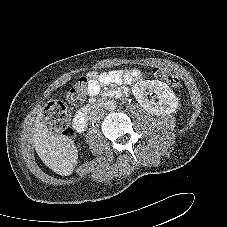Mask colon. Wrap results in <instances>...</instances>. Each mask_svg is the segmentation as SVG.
<instances>
[{
    "label": "colon",
    "instance_id": "obj_1",
    "mask_svg": "<svg viewBox=\"0 0 227 227\" xmlns=\"http://www.w3.org/2000/svg\"><path fill=\"white\" fill-rule=\"evenodd\" d=\"M154 75L164 80L171 88L179 89L180 81L178 77L162 67L153 70ZM89 94L88 78H79L70 88L67 98L71 103H81ZM43 118L46 124L56 133L69 136L72 134L69 127V115L65 104L58 100H50L44 108Z\"/></svg>",
    "mask_w": 227,
    "mask_h": 227
}]
</instances>
